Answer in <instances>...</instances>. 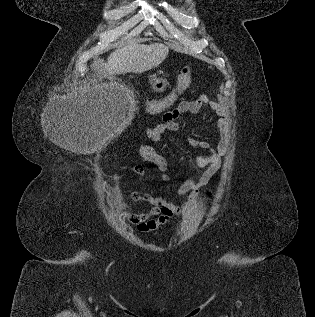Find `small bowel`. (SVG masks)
I'll return each instance as SVG.
<instances>
[{"instance_id": "obj_1", "label": "small bowel", "mask_w": 315, "mask_h": 317, "mask_svg": "<svg viewBox=\"0 0 315 317\" xmlns=\"http://www.w3.org/2000/svg\"><path fill=\"white\" fill-rule=\"evenodd\" d=\"M203 107L212 109L219 116L213 128L220 136L215 148L207 140L197 138H190L188 140L191 147L210 152L208 156L196 155L194 157V164L199 168L206 167L205 172L197 182L192 179H186L182 182L178 188L177 195L183 196L189 194L188 200L182 205H178L173 200L167 199L160 194L145 192L131 193L129 195L131 201H144L151 206L150 210L144 213L126 214V221L134 225L138 232L160 234L171 218L182 214L192 207L200 188L207 185L218 171L221 158L227 153L229 146V122L225 109L216 100L203 95L194 101H183L175 109L166 112L162 117L161 123L148 128L146 135L152 141L161 143L163 147H168L169 144L163 138V134L166 131L180 130L181 125L178 119L185 113L197 114ZM137 155L144 163L153 165L163 181L169 180L168 161L156 149L151 146L142 145L137 149ZM128 170L141 178L147 177L146 169L142 165H134Z\"/></svg>"}]
</instances>
